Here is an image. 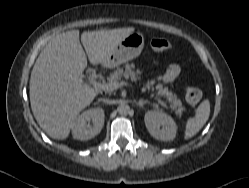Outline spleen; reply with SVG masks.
<instances>
[{
	"label": "spleen",
	"instance_id": "obj_1",
	"mask_svg": "<svg viewBox=\"0 0 249 188\" xmlns=\"http://www.w3.org/2000/svg\"><path fill=\"white\" fill-rule=\"evenodd\" d=\"M209 115L210 103L204 100L196 109L195 116L187 121L184 138L189 139L196 135L207 122Z\"/></svg>",
	"mask_w": 249,
	"mask_h": 188
}]
</instances>
